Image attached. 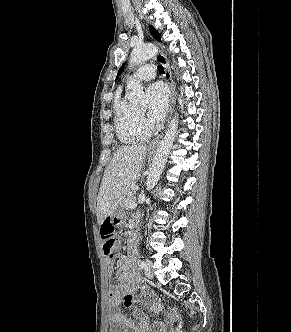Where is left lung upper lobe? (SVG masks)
<instances>
[{"mask_svg":"<svg viewBox=\"0 0 291 332\" xmlns=\"http://www.w3.org/2000/svg\"><path fill=\"white\" fill-rule=\"evenodd\" d=\"M152 35L159 41H161V35L159 34V32L153 27V26H150L149 27ZM124 65L119 69L118 71V74H117V77L119 76V74L121 73L122 69H123Z\"/></svg>","mask_w":291,"mask_h":332,"instance_id":"obj_1","label":"left lung upper lobe"}]
</instances>
